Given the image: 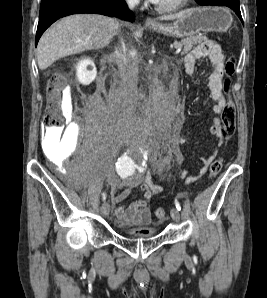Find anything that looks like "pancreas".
I'll list each match as a JSON object with an SVG mask.
<instances>
[{
    "label": "pancreas",
    "instance_id": "pancreas-1",
    "mask_svg": "<svg viewBox=\"0 0 267 298\" xmlns=\"http://www.w3.org/2000/svg\"><path fill=\"white\" fill-rule=\"evenodd\" d=\"M203 38L204 37L202 36H190L181 41H175L173 46L175 48H183L182 54H187L193 48V46L199 43Z\"/></svg>",
    "mask_w": 267,
    "mask_h": 298
}]
</instances>
